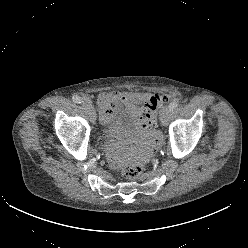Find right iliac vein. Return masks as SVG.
Here are the masks:
<instances>
[{
	"mask_svg": "<svg viewBox=\"0 0 248 248\" xmlns=\"http://www.w3.org/2000/svg\"><path fill=\"white\" fill-rule=\"evenodd\" d=\"M83 105H84V107L87 108L91 117L94 119L96 116V112H95L94 106L92 105L91 100L88 98H84Z\"/></svg>",
	"mask_w": 248,
	"mask_h": 248,
	"instance_id": "obj_1",
	"label": "right iliac vein"
}]
</instances>
